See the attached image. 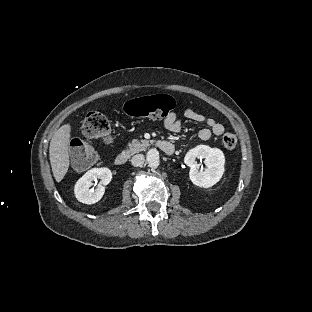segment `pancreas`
I'll return each instance as SVG.
<instances>
[{"mask_svg": "<svg viewBox=\"0 0 312 312\" xmlns=\"http://www.w3.org/2000/svg\"><path fill=\"white\" fill-rule=\"evenodd\" d=\"M148 145V140L139 141L138 139H133L126 145L127 153L129 155H134L136 153L143 152Z\"/></svg>", "mask_w": 312, "mask_h": 312, "instance_id": "cf45deb5", "label": "pancreas"}]
</instances>
